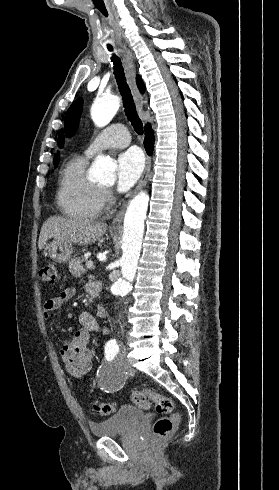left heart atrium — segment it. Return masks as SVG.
<instances>
[{
	"mask_svg": "<svg viewBox=\"0 0 279 490\" xmlns=\"http://www.w3.org/2000/svg\"><path fill=\"white\" fill-rule=\"evenodd\" d=\"M144 170V159L142 154L131 149L122 153L117 159V181L118 192L124 193L131 189L140 179Z\"/></svg>",
	"mask_w": 279,
	"mask_h": 490,
	"instance_id": "39dd6f15",
	"label": "left heart atrium"
}]
</instances>
